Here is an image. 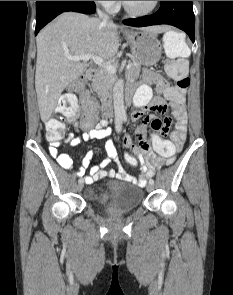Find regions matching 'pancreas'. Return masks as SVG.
I'll list each match as a JSON object with an SVG mask.
<instances>
[{"instance_id":"pancreas-1","label":"pancreas","mask_w":233,"mask_h":295,"mask_svg":"<svg viewBox=\"0 0 233 295\" xmlns=\"http://www.w3.org/2000/svg\"><path fill=\"white\" fill-rule=\"evenodd\" d=\"M129 63H131V68L127 70V74L138 77L141 70V63L135 58H132ZM113 64L117 65V62ZM116 79L117 77L115 74L109 73L107 70L100 67L92 80V88L94 92L98 94V97L104 100L110 96V91Z\"/></svg>"}]
</instances>
